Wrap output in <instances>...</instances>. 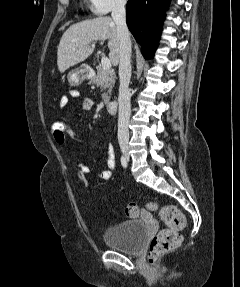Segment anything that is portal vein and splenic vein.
<instances>
[{"instance_id":"portal-vein-and-splenic-vein-1","label":"portal vein and splenic vein","mask_w":240,"mask_h":287,"mask_svg":"<svg viewBox=\"0 0 240 287\" xmlns=\"http://www.w3.org/2000/svg\"><path fill=\"white\" fill-rule=\"evenodd\" d=\"M92 46H95V44H92ZM101 65L104 69L109 70L111 68V61L107 57H102L101 59Z\"/></svg>"}]
</instances>
